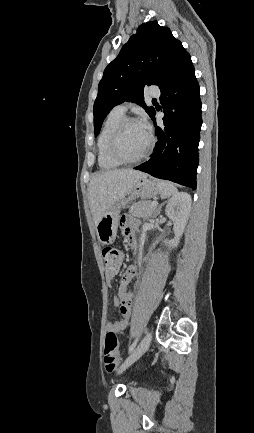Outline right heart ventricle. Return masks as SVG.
Returning a JSON list of instances; mask_svg holds the SVG:
<instances>
[{
    "mask_svg": "<svg viewBox=\"0 0 254 433\" xmlns=\"http://www.w3.org/2000/svg\"><path fill=\"white\" fill-rule=\"evenodd\" d=\"M123 118L124 114L112 110L105 119L101 132L98 136L97 159L100 168L104 170H113L121 165L109 155L108 145L112 132Z\"/></svg>",
    "mask_w": 254,
    "mask_h": 433,
    "instance_id": "1",
    "label": "right heart ventricle"
}]
</instances>
